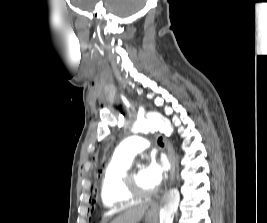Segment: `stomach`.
Instances as JSON below:
<instances>
[{
    "label": "stomach",
    "instance_id": "stomach-1",
    "mask_svg": "<svg viewBox=\"0 0 267 223\" xmlns=\"http://www.w3.org/2000/svg\"><path fill=\"white\" fill-rule=\"evenodd\" d=\"M157 217V212L155 209L148 210L146 213L145 219L147 223H154Z\"/></svg>",
    "mask_w": 267,
    "mask_h": 223
}]
</instances>
